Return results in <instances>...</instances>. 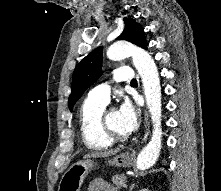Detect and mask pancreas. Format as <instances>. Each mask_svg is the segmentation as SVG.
<instances>
[{
	"mask_svg": "<svg viewBox=\"0 0 221 191\" xmlns=\"http://www.w3.org/2000/svg\"><path fill=\"white\" fill-rule=\"evenodd\" d=\"M112 182L117 188H121L127 182V178L122 174H116L113 175Z\"/></svg>",
	"mask_w": 221,
	"mask_h": 191,
	"instance_id": "obj_1",
	"label": "pancreas"
}]
</instances>
